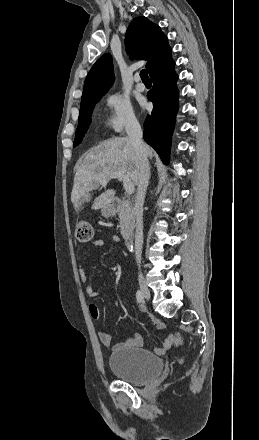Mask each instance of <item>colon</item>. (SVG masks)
I'll return each instance as SVG.
<instances>
[{"mask_svg": "<svg viewBox=\"0 0 259 440\" xmlns=\"http://www.w3.org/2000/svg\"><path fill=\"white\" fill-rule=\"evenodd\" d=\"M76 237L80 242H90L94 237L93 225L88 221L79 222L76 227ZM167 339L170 345H180L182 343V338L178 333H170Z\"/></svg>", "mask_w": 259, "mask_h": 440, "instance_id": "1", "label": "colon"}]
</instances>
